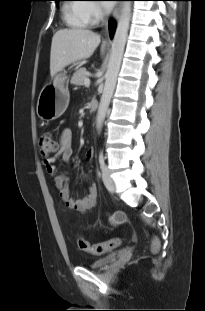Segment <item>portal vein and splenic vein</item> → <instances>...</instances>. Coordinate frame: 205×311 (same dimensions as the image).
<instances>
[{"mask_svg":"<svg viewBox=\"0 0 205 311\" xmlns=\"http://www.w3.org/2000/svg\"><path fill=\"white\" fill-rule=\"evenodd\" d=\"M84 85L85 86H89L90 85V79L89 78H85L84 79Z\"/></svg>","mask_w":205,"mask_h":311,"instance_id":"18ae733b","label":"portal vein and splenic vein"}]
</instances>
